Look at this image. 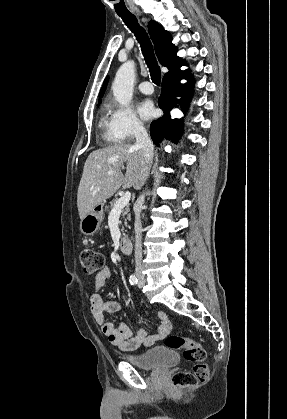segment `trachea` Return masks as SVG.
<instances>
[{
  "mask_svg": "<svg viewBox=\"0 0 287 419\" xmlns=\"http://www.w3.org/2000/svg\"><path fill=\"white\" fill-rule=\"evenodd\" d=\"M119 16L122 18L125 25L135 34L136 39L140 43L144 59L148 65L151 79L153 83L160 86L161 70L157 64L153 46L146 31L138 24V21L133 14H119Z\"/></svg>",
  "mask_w": 287,
  "mask_h": 419,
  "instance_id": "obj_1",
  "label": "trachea"
}]
</instances>
